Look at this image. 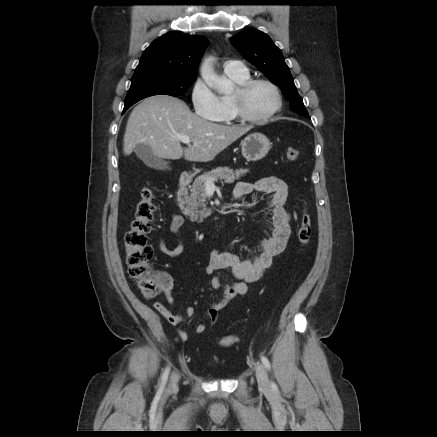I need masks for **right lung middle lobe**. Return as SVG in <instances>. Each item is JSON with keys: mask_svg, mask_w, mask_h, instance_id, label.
<instances>
[{"mask_svg": "<svg viewBox=\"0 0 437 437\" xmlns=\"http://www.w3.org/2000/svg\"><path fill=\"white\" fill-rule=\"evenodd\" d=\"M195 76H177L156 69L135 72L126 95L123 113L139 100L153 95L182 96Z\"/></svg>", "mask_w": 437, "mask_h": 437, "instance_id": "dd1d6c3e", "label": "right lung middle lobe"}]
</instances>
